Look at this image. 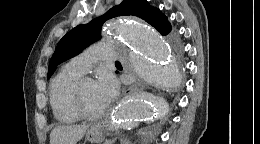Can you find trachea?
Wrapping results in <instances>:
<instances>
[{
  "label": "trachea",
  "mask_w": 260,
  "mask_h": 144,
  "mask_svg": "<svg viewBox=\"0 0 260 144\" xmlns=\"http://www.w3.org/2000/svg\"><path fill=\"white\" fill-rule=\"evenodd\" d=\"M115 64H120V62H119V61H116Z\"/></svg>",
  "instance_id": "trachea-1"
}]
</instances>
